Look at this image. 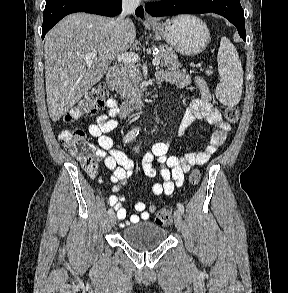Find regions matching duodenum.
Here are the masks:
<instances>
[{"label":"duodenum","mask_w":288,"mask_h":293,"mask_svg":"<svg viewBox=\"0 0 288 293\" xmlns=\"http://www.w3.org/2000/svg\"><path fill=\"white\" fill-rule=\"evenodd\" d=\"M161 81L160 79H158ZM106 81L110 89H115L117 85V69L115 67L109 68L106 74ZM147 105V101L144 99H135L128 101L123 104V109L128 112L130 110H140L143 109Z\"/></svg>","instance_id":"duodenum-1"}]
</instances>
